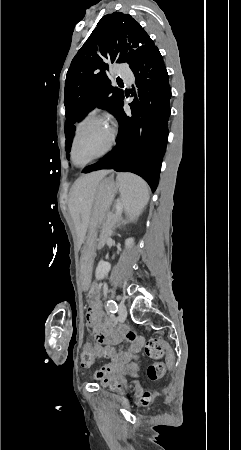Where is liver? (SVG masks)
I'll use <instances>...</instances> for the list:
<instances>
[{"mask_svg":"<svg viewBox=\"0 0 241 450\" xmlns=\"http://www.w3.org/2000/svg\"><path fill=\"white\" fill-rule=\"evenodd\" d=\"M111 170H100L78 178L72 186L69 200L71 216L75 218L78 226L85 232L89 222V214L92 202L95 198L100 180H103Z\"/></svg>","mask_w":241,"mask_h":450,"instance_id":"liver-1","label":"liver"}]
</instances>
